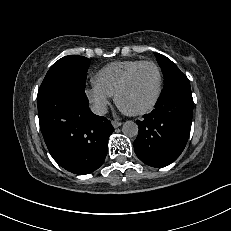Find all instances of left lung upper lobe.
<instances>
[{"label":"left lung upper lobe","instance_id":"obj_1","mask_svg":"<svg viewBox=\"0 0 231 231\" xmlns=\"http://www.w3.org/2000/svg\"><path fill=\"white\" fill-rule=\"evenodd\" d=\"M159 66L162 69L165 83L168 82L170 79L182 75L183 73L179 70V68L166 56L155 53L154 54Z\"/></svg>","mask_w":231,"mask_h":231}]
</instances>
